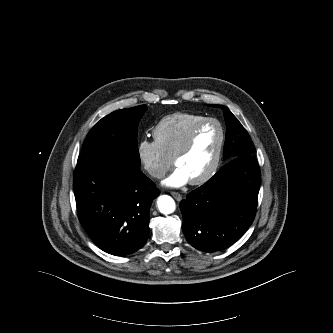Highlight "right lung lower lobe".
Wrapping results in <instances>:
<instances>
[{
	"instance_id": "98d812e1",
	"label": "right lung lower lobe",
	"mask_w": 333,
	"mask_h": 333,
	"mask_svg": "<svg viewBox=\"0 0 333 333\" xmlns=\"http://www.w3.org/2000/svg\"><path fill=\"white\" fill-rule=\"evenodd\" d=\"M78 217L103 251L122 256L146 243L149 210L160 191L126 157L79 156L74 175Z\"/></svg>"
}]
</instances>
